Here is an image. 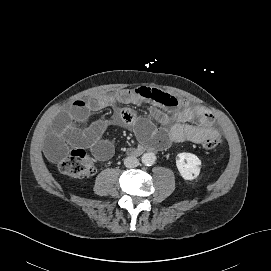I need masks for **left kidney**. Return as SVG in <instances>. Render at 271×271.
Here are the masks:
<instances>
[{
    "mask_svg": "<svg viewBox=\"0 0 271 271\" xmlns=\"http://www.w3.org/2000/svg\"><path fill=\"white\" fill-rule=\"evenodd\" d=\"M176 166L185 180H193L200 173L201 161L192 153H179L176 157Z\"/></svg>",
    "mask_w": 271,
    "mask_h": 271,
    "instance_id": "1",
    "label": "left kidney"
}]
</instances>
